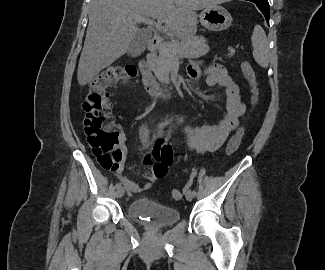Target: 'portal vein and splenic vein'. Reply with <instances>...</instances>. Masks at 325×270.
<instances>
[{
	"mask_svg": "<svg viewBox=\"0 0 325 270\" xmlns=\"http://www.w3.org/2000/svg\"><path fill=\"white\" fill-rule=\"evenodd\" d=\"M135 21L137 23H147L149 25H152L154 26L158 31L162 32L163 31V27L161 25V22L160 21H155L154 19H151V18H147V17H136Z\"/></svg>",
	"mask_w": 325,
	"mask_h": 270,
	"instance_id": "18ae733b",
	"label": "portal vein and splenic vein"
}]
</instances>
